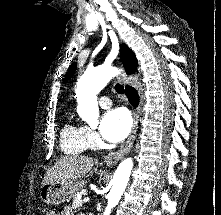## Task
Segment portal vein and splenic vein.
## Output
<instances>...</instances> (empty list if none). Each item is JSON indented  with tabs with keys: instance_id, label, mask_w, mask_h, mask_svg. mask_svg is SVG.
Segmentation results:
<instances>
[{
	"instance_id": "portal-vein-and-splenic-vein-1",
	"label": "portal vein and splenic vein",
	"mask_w": 221,
	"mask_h": 215,
	"mask_svg": "<svg viewBox=\"0 0 221 215\" xmlns=\"http://www.w3.org/2000/svg\"><path fill=\"white\" fill-rule=\"evenodd\" d=\"M89 201H90V199L88 197L83 199V202H85V203L89 202Z\"/></svg>"
}]
</instances>
